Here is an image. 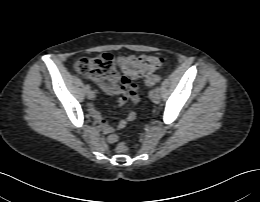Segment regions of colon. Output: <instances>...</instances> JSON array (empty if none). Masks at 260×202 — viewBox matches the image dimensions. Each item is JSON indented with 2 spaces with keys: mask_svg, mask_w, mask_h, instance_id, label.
<instances>
[{
  "mask_svg": "<svg viewBox=\"0 0 260 202\" xmlns=\"http://www.w3.org/2000/svg\"><path fill=\"white\" fill-rule=\"evenodd\" d=\"M163 59L157 55H120L110 53L95 57H84L74 63L75 71L100 84L120 79L125 85H130L133 79L144 78L147 85L152 86L161 81L154 72L161 67ZM118 69L122 72L119 76ZM117 152L126 153L128 147L124 143L117 146Z\"/></svg>",
  "mask_w": 260,
  "mask_h": 202,
  "instance_id": "1",
  "label": "colon"
}]
</instances>
